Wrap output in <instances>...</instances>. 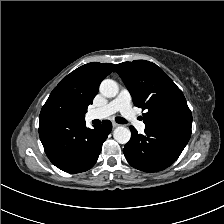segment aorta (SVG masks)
Segmentation results:
<instances>
[{"instance_id":"aorta-1","label":"aorta","mask_w":224,"mask_h":224,"mask_svg":"<svg viewBox=\"0 0 224 224\" xmlns=\"http://www.w3.org/2000/svg\"><path fill=\"white\" fill-rule=\"evenodd\" d=\"M99 90L103 96L113 98L118 94L119 86L114 80L105 79L101 82ZM113 137L118 143L126 144L131 138V132L125 126H118L113 132Z\"/></svg>"}]
</instances>
